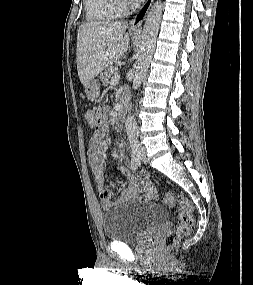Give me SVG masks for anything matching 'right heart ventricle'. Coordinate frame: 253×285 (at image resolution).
I'll list each match as a JSON object with an SVG mask.
<instances>
[{
	"mask_svg": "<svg viewBox=\"0 0 253 285\" xmlns=\"http://www.w3.org/2000/svg\"><path fill=\"white\" fill-rule=\"evenodd\" d=\"M86 17L90 21H108L120 17L124 10L118 0H84Z\"/></svg>",
	"mask_w": 253,
	"mask_h": 285,
	"instance_id": "right-heart-ventricle-1",
	"label": "right heart ventricle"
}]
</instances>
